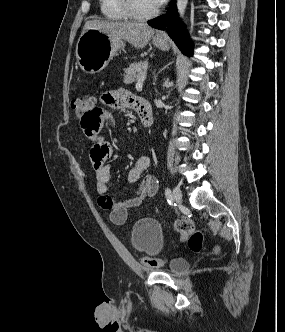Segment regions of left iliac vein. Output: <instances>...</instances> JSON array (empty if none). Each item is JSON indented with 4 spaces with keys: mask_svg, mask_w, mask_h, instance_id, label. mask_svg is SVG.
<instances>
[{
    "mask_svg": "<svg viewBox=\"0 0 285 332\" xmlns=\"http://www.w3.org/2000/svg\"><path fill=\"white\" fill-rule=\"evenodd\" d=\"M172 195H173V200H174V202H176L177 204H180V203H181V200H182V193H181L180 188L175 187V188L173 189V193H172Z\"/></svg>",
    "mask_w": 285,
    "mask_h": 332,
    "instance_id": "left-iliac-vein-1",
    "label": "left iliac vein"
}]
</instances>
